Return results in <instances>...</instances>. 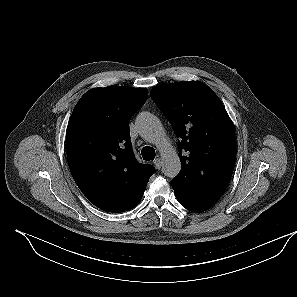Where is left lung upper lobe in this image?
Listing matches in <instances>:
<instances>
[{"label":"left lung upper lobe","instance_id":"obj_1","mask_svg":"<svg viewBox=\"0 0 297 297\" xmlns=\"http://www.w3.org/2000/svg\"><path fill=\"white\" fill-rule=\"evenodd\" d=\"M151 98L179 138L181 171L172 180L179 203L203 212L226 190L235 165L233 123L219 97L199 81L161 84Z\"/></svg>","mask_w":297,"mask_h":297}]
</instances>
